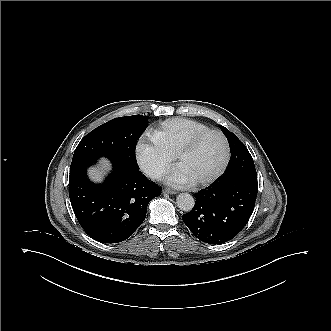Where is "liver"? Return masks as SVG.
Segmentation results:
<instances>
[{
	"instance_id": "6515ba94",
	"label": "liver",
	"mask_w": 331,
	"mask_h": 331,
	"mask_svg": "<svg viewBox=\"0 0 331 331\" xmlns=\"http://www.w3.org/2000/svg\"><path fill=\"white\" fill-rule=\"evenodd\" d=\"M101 167L98 168H92L89 170V177L95 181V182H101L103 180L105 171H108L110 169L109 161L106 159H102L100 161Z\"/></svg>"
}]
</instances>
